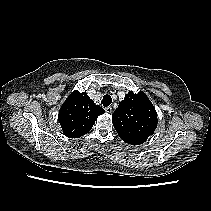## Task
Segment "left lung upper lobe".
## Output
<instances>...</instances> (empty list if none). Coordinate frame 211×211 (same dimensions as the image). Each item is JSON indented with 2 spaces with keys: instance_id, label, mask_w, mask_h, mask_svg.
Here are the masks:
<instances>
[{
  "instance_id": "1",
  "label": "left lung upper lobe",
  "mask_w": 211,
  "mask_h": 211,
  "mask_svg": "<svg viewBox=\"0 0 211 211\" xmlns=\"http://www.w3.org/2000/svg\"><path fill=\"white\" fill-rule=\"evenodd\" d=\"M119 137L128 144H143L157 127V113L144 92H129L112 114Z\"/></svg>"
}]
</instances>
